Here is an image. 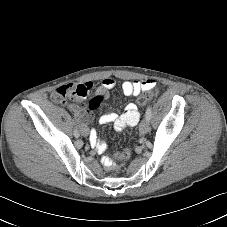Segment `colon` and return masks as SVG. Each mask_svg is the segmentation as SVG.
<instances>
[{
    "label": "colon",
    "mask_w": 227,
    "mask_h": 227,
    "mask_svg": "<svg viewBox=\"0 0 227 227\" xmlns=\"http://www.w3.org/2000/svg\"><path fill=\"white\" fill-rule=\"evenodd\" d=\"M155 89H156V85L154 84L151 89L147 90L146 93L138 99V104L142 105L146 103L149 99H151L156 94ZM80 91H81V88L79 86H75L73 84L63 85L55 91V99L59 100L63 98H68L74 94L79 93ZM104 100H105V97L102 95H98L94 97L89 104V109L91 111L98 109ZM112 154L114 156L108 155L107 153L103 155V159H102L103 163L108 168L117 167L118 164L116 162V159H126L130 155V152L127 151L120 154V151L118 149H114L112 151Z\"/></svg>",
    "instance_id": "obj_1"
}]
</instances>
